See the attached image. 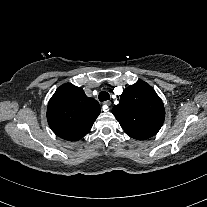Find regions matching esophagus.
<instances>
[{"label": "esophagus", "instance_id": "1", "mask_svg": "<svg viewBox=\"0 0 207 207\" xmlns=\"http://www.w3.org/2000/svg\"><path fill=\"white\" fill-rule=\"evenodd\" d=\"M104 105H106L107 107H109L111 105V102L110 101H105L104 102Z\"/></svg>", "mask_w": 207, "mask_h": 207}]
</instances>
